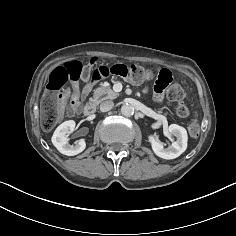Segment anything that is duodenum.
<instances>
[{"instance_id":"duodenum-1","label":"duodenum","mask_w":236,"mask_h":236,"mask_svg":"<svg viewBox=\"0 0 236 236\" xmlns=\"http://www.w3.org/2000/svg\"><path fill=\"white\" fill-rule=\"evenodd\" d=\"M95 106L93 103H88L84 108V114L86 117H91L94 115Z\"/></svg>"}]
</instances>
